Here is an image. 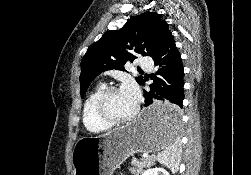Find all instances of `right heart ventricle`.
<instances>
[{
	"label": "right heart ventricle",
	"instance_id": "right-heart-ventricle-1",
	"mask_svg": "<svg viewBox=\"0 0 251 175\" xmlns=\"http://www.w3.org/2000/svg\"><path fill=\"white\" fill-rule=\"evenodd\" d=\"M106 88V84L98 83L86 97L82 108V121L86 130L93 134L103 133L111 128V125L103 121L96 113L95 103L98 95Z\"/></svg>",
	"mask_w": 251,
	"mask_h": 175
}]
</instances>
